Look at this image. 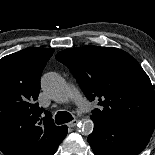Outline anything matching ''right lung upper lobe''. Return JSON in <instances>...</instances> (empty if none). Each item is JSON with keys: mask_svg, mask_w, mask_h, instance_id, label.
<instances>
[{"mask_svg": "<svg viewBox=\"0 0 155 155\" xmlns=\"http://www.w3.org/2000/svg\"><path fill=\"white\" fill-rule=\"evenodd\" d=\"M54 49L31 47L0 59V150L53 155L67 134L38 106L41 73Z\"/></svg>", "mask_w": 155, "mask_h": 155, "instance_id": "obj_1", "label": "right lung upper lobe"}]
</instances>
